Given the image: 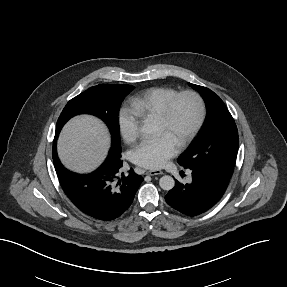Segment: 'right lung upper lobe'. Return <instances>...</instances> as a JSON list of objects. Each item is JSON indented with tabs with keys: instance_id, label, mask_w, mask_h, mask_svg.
I'll list each match as a JSON object with an SVG mask.
<instances>
[{
	"instance_id": "cb5924a9",
	"label": "right lung upper lobe",
	"mask_w": 287,
	"mask_h": 287,
	"mask_svg": "<svg viewBox=\"0 0 287 287\" xmlns=\"http://www.w3.org/2000/svg\"><path fill=\"white\" fill-rule=\"evenodd\" d=\"M62 127L60 125H58L56 128V133H55V137H54V141H53V160H56L58 157L57 151H56V142H57V138H58L59 132H60ZM110 159H113V157H109L106 161H108Z\"/></svg>"
}]
</instances>
